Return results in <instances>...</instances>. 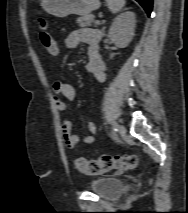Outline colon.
Segmentation results:
<instances>
[{
  "label": "colon",
  "instance_id": "1",
  "mask_svg": "<svg viewBox=\"0 0 188 213\" xmlns=\"http://www.w3.org/2000/svg\"><path fill=\"white\" fill-rule=\"evenodd\" d=\"M40 26L39 39L44 49L53 56L58 54V48L47 28L43 18L38 19ZM138 158L135 155L110 156L103 155L95 160L78 158L75 160L76 169L86 175H98L111 171L130 170L136 168Z\"/></svg>",
  "mask_w": 188,
  "mask_h": 213
}]
</instances>
